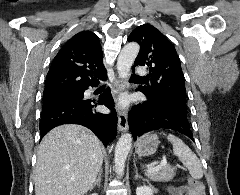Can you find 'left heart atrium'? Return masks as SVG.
<instances>
[{
	"instance_id": "1",
	"label": "left heart atrium",
	"mask_w": 240,
	"mask_h": 195,
	"mask_svg": "<svg viewBox=\"0 0 240 195\" xmlns=\"http://www.w3.org/2000/svg\"><path fill=\"white\" fill-rule=\"evenodd\" d=\"M127 105V99L125 97H121L119 99V103H118V106L120 108H124L125 106Z\"/></svg>"
}]
</instances>
